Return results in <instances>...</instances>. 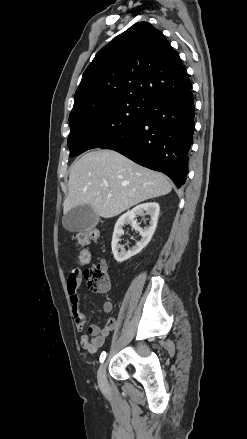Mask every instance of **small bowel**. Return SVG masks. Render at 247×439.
<instances>
[{"label": "small bowel", "instance_id": "obj_1", "mask_svg": "<svg viewBox=\"0 0 247 439\" xmlns=\"http://www.w3.org/2000/svg\"><path fill=\"white\" fill-rule=\"evenodd\" d=\"M82 281V271L80 269H73L67 279L68 294L73 311L74 321L76 328L79 332H82L87 325V315L80 308V301L78 295V289ZM103 311L105 313H111L113 310V303L107 300L103 303ZM116 319L110 317L103 328H100L96 324H92L88 327L87 332L82 335L80 344L90 353H96L105 343L109 333L115 328Z\"/></svg>", "mask_w": 247, "mask_h": 439}]
</instances>
